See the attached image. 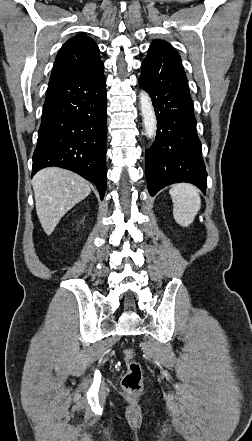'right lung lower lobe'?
I'll return each instance as SVG.
<instances>
[{"mask_svg":"<svg viewBox=\"0 0 252 441\" xmlns=\"http://www.w3.org/2000/svg\"><path fill=\"white\" fill-rule=\"evenodd\" d=\"M104 64L51 83L46 91L32 176L42 168L71 170L106 190L107 95Z\"/></svg>","mask_w":252,"mask_h":441,"instance_id":"obj_1","label":"right lung lower lobe"}]
</instances>
